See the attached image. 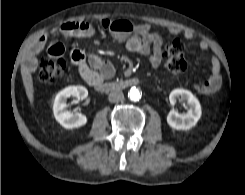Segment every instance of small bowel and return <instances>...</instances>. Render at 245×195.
Returning a JSON list of instances; mask_svg holds the SVG:
<instances>
[{
	"label": "small bowel",
	"mask_w": 245,
	"mask_h": 195,
	"mask_svg": "<svg viewBox=\"0 0 245 195\" xmlns=\"http://www.w3.org/2000/svg\"><path fill=\"white\" fill-rule=\"evenodd\" d=\"M97 27L107 29L116 39L126 40V48L148 59L153 68L161 65L163 60V39L160 34L152 30L149 24H132L128 20L103 19L98 24L83 21H69L62 23L56 30L63 35L74 37H92L96 34ZM55 32V31H54ZM52 32V33H54ZM169 33L178 35L183 33L187 40H193L195 35L192 31L182 32L179 28H169ZM50 34L38 37L32 44L26 59L27 68L33 71L37 65V56L46 45ZM199 47L207 50L209 43L202 39ZM51 56H62L64 46L61 43H53L48 47ZM71 59L76 65L80 76L90 85H95L105 79H110L115 74L113 64L97 54H91L88 58L80 49L71 51ZM211 73L207 80L195 84L197 92L203 95L215 93L222 84L221 64L217 57L212 56Z\"/></svg>",
	"instance_id": "obj_1"
}]
</instances>
